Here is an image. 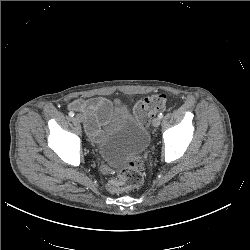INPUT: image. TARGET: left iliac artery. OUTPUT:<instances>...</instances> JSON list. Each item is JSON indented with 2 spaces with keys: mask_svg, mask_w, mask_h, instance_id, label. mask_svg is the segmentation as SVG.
I'll list each match as a JSON object with an SVG mask.
<instances>
[{
  "mask_svg": "<svg viewBox=\"0 0 250 250\" xmlns=\"http://www.w3.org/2000/svg\"><path fill=\"white\" fill-rule=\"evenodd\" d=\"M158 118H159V119H162V118H163V114L160 113V114L158 115Z\"/></svg>",
  "mask_w": 250,
  "mask_h": 250,
  "instance_id": "left-iliac-artery-1",
  "label": "left iliac artery"
}]
</instances>
